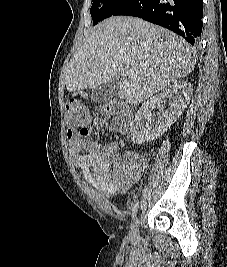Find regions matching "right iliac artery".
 Masks as SVG:
<instances>
[{"label":"right iliac artery","mask_w":227,"mask_h":267,"mask_svg":"<svg viewBox=\"0 0 227 267\" xmlns=\"http://www.w3.org/2000/svg\"><path fill=\"white\" fill-rule=\"evenodd\" d=\"M137 209H138V201H136L135 204L133 205V208H132V219H134V217L136 215V212H137Z\"/></svg>","instance_id":"82829eb1"}]
</instances>
